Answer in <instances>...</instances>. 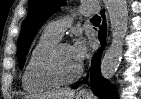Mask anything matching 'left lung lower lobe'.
Instances as JSON below:
<instances>
[{"mask_svg": "<svg viewBox=\"0 0 141 99\" xmlns=\"http://www.w3.org/2000/svg\"><path fill=\"white\" fill-rule=\"evenodd\" d=\"M106 36V24L103 22L99 40L102 44L101 50L97 52L93 59H92V65H91V71H90V77H91V86L93 93L101 98V99H117V95L115 94V91L113 90L112 86L108 83L107 80H105L100 73V57L102 54L104 41ZM83 82H87V78H85ZM79 84L73 86L72 88H77Z\"/></svg>", "mask_w": 141, "mask_h": 99, "instance_id": "left-lung-lower-lobe-1", "label": "left lung lower lobe"}]
</instances>
